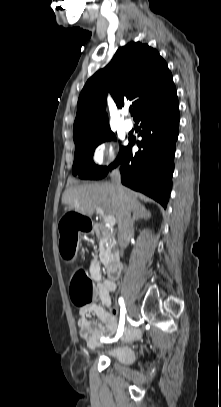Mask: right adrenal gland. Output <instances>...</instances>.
<instances>
[{
  "label": "right adrenal gland",
  "mask_w": 221,
  "mask_h": 407,
  "mask_svg": "<svg viewBox=\"0 0 221 407\" xmlns=\"http://www.w3.org/2000/svg\"><path fill=\"white\" fill-rule=\"evenodd\" d=\"M144 211H145V209L144 208H142ZM146 212V211H145ZM150 215V213L148 212V216ZM139 219H147V217H145V216H142V215H139V214H137V213H133V222L135 223L136 221H138Z\"/></svg>",
  "instance_id": "obj_1"
}]
</instances>
